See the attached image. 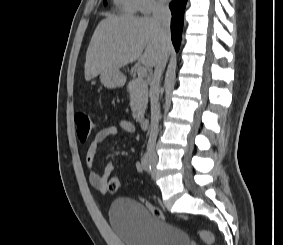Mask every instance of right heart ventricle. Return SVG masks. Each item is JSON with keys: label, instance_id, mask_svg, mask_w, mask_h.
<instances>
[{"label": "right heart ventricle", "instance_id": "right-heart-ventricle-1", "mask_svg": "<svg viewBox=\"0 0 283 245\" xmlns=\"http://www.w3.org/2000/svg\"><path fill=\"white\" fill-rule=\"evenodd\" d=\"M117 9L126 14H134L137 11L135 0H113Z\"/></svg>", "mask_w": 283, "mask_h": 245}]
</instances>
